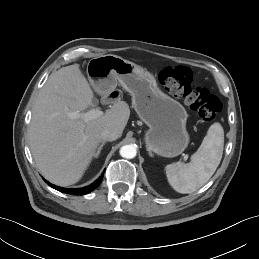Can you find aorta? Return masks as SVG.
I'll return each mask as SVG.
<instances>
[{"mask_svg": "<svg viewBox=\"0 0 259 259\" xmlns=\"http://www.w3.org/2000/svg\"><path fill=\"white\" fill-rule=\"evenodd\" d=\"M120 155L127 159H132L136 156V148L133 145H125L120 148Z\"/></svg>", "mask_w": 259, "mask_h": 259, "instance_id": "1", "label": "aorta"}]
</instances>
